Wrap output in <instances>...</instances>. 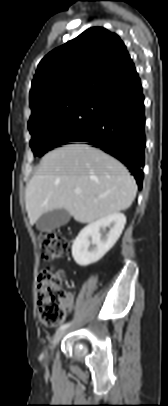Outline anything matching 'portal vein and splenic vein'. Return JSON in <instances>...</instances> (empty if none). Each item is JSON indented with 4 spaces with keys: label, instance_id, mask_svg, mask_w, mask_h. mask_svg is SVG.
I'll return each instance as SVG.
<instances>
[{
    "label": "portal vein and splenic vein",
    "instance_id": "18ae733b",
    "mask_svg": "<svg viewBox=\"0 0 168 406\" xmlns=\"http://www.w3.org/2000/svg\"><path fill=\"white\" fill-rule=\"evenodd\" d=\"M74 192H75L76 194H80V193H81V189L76 188V189L74 190Z\"/></svg>",
    "mask_w": 168,
    "mask_h": 406
}]
</instances>
